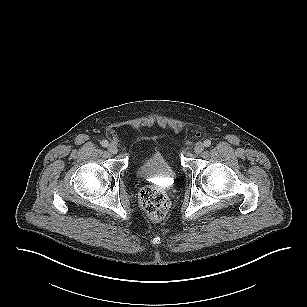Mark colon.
Segmentation results:
<instances>
[{"instance_id":"5ec220e1","label":"colon","mask_w":307,"mask_h":307,"mask_svg":"<svg viewBox=\"0 0 307 307\" xmlns=\"http://www.w3.org/2000/svg\"><path fill=\"white\" fill-rule=\"evenodd\" d=\"M139 203L143 211L152 219H163L169 210V199L159 187L147 186L139 193Z\"/></svg>"}]
</instances>
